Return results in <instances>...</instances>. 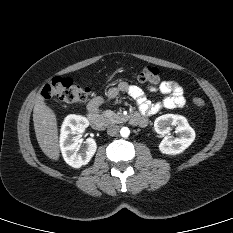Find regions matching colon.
<instances>
[{
	"instance_id": "5ec220e1",
	"label": "colon",
	"mask_w": 233,
	"mask_h": 233,
	"mask_svg": "<svg viewBox=\"0 0 233 233\" xmlns=\"http://www.w3.org/2000/svg\"><path fill=\"white\" fill-rule=\"evenodd\" d=\"M137 80L146 84H157L160 81L159 70L152 66H144L135 74ZM91 89L81 86L69 78L55 77L47 82L42 90L45 100H59L63 102H83L89 98ZM193 105L202 108L205 102L201 98H195Z\"/></svg>"
}]
</instances>
